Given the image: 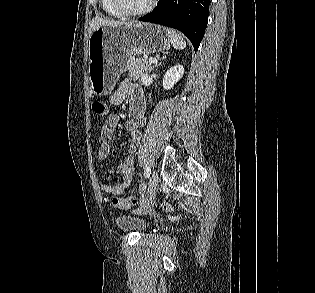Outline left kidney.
<instances>
[{"instance_id": "obj_1", "label": "left kidney", "mask_w": 315, "mask_h": 293, "mask_svg": "<svg viewBox=\"0 0 315 293\" xmlns=\"http://www.w3.org/2000/svg\"><path fill=\"white\" fill-rule=\"evenodd\" d=\"M184 74V68L182 65H176L171 67L164 75L163 88L170 90L174 85L182 78Z\"/></svg>"}]
</instances>
